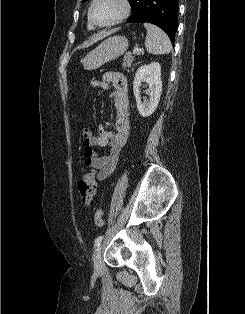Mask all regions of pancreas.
Masks as SVG:
<instances>
[{"instance_id":"cf45deb5","label":"pancreas","mask_w":245,"mask_h":314,"mask_svg":"<svg viewBox=\"0 0 245 314\" xmlns=\"http://www.w3.org/2000/svg\"><path fill=\"white\" fill-rule=\"evenodd\" d=\"M133 60H134V57L131 55V53H127L123 59L122 69L129 70L131 68Z\"/></svg>"}]
</instances>
